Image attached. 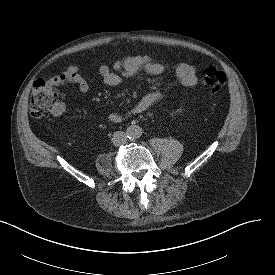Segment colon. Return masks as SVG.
<instances>
[{
    "mask_svg": "<svg viewBox=\"0 0 275 275\" xmlns=\"http://www.w3.org/2000/svg\"><path fill=\"white\" fill-rule=\"evenodd\" d=\"M226 81V75L215 66H208L204 71L205 85L214 93L219 92ZM59 97L51 83L44 80H37L33 83L30 112L35 118H42L50 115L59 106Z\"/></svg>",
    "mask_w": 275,
    "mask_h": 275,
    "instance_id": "colon-1",
    "label": "colon"
}]
</instances>
